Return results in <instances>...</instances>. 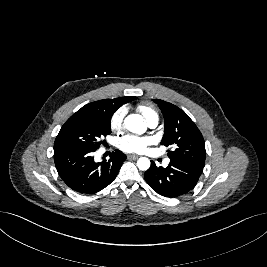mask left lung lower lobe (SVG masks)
<instances>
[{
	"label": "left lung lower lobe",
	"instance_id": "0a47b994",
	"mask_svg": "<svg viewBox=\"0 0 267 267\" xmlns=\"http://www.w3.org/2000/svg\"><path fill=\"white\" fill-rule=\"evenodd\" d=\"M203 168L192 163L170 159L166 168H158L155 163H151L150 168L144 174V178L158 194L175 198L194 188L203 172Z\"/></svg>",
	"mask_w": 267,
	"mask_h": 267
}]
</instances>
